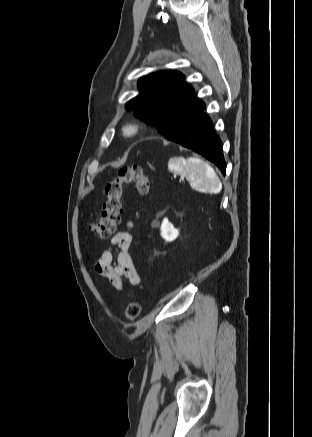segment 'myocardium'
<instances>
[{
    "mask_svg": "<svg viewBox=\"0 0 312 437\" xmlns=\"http://www.w3.org/2000/svg\"><path fill=\"white\" fill-rule=\"evenodd\" d=\"M140 125L137 121H128L122 127V133L125 137H134L138 134Z\"/></svg>",
    "mask_w": 312,
    "mask_h": 437,
    "instance_id": "f54148a6",
    "label": "myocardium"
}]
</instances>
